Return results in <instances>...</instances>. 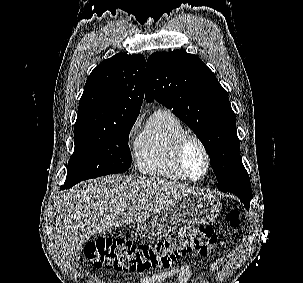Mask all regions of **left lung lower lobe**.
<instances>
[{
	"label": "left lung lower lobe",
	"mask_w": 303,
	"mask_h": 283,
	"mask_svg": "<svg viewBox=\"0 0 303 283\" xmlns=\"http://www.w3.org/2000/svg\"><path fill=\"white\" fill-rule=\"evenodd\" d=\"M223 192H230L235 194L241 201L242 203L245 205L246 209L249 210V206H250V201H251V196L252 194H247L238 190H233V189H226V190H220Z\"/></svg>",
	"instance_id": "obj_1"
}]
</instances>
